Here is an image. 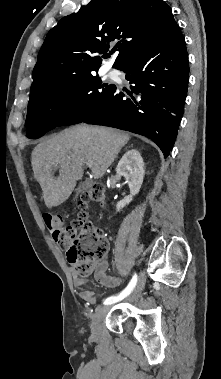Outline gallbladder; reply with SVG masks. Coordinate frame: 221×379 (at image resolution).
<instances>
[{
	"instance_id": "gallbladder-1",
	"label": "gallbladder",
	"mask_w": 221,
	"mask_h": 379,
	"mask_svg": "<svg viewBox=\"0 0 221 379\" xmlns=\"http://www.w3.org/2000/svg\"><path fill=\"white\" fill-rule=\"evenodd\" d=\"M85 188H87V184H86V183H82V184L79 186V188H78V192H77L75 198H77L79 191H80L81 189H85Z\"/></svg>"
}]
</instances>
